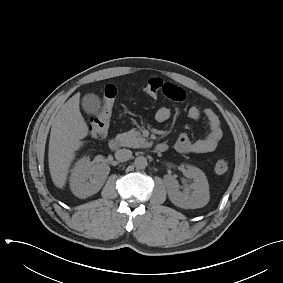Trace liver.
<instances>
[{"label": "liver", "instance_id": "1", "mask_svg": "<svg viewBox=\"0 0 283 283\" xmlns=\"http://www.w3.org/2000/svg\"><path fill=\"white\" fill-rule=\"evenodd\" d=\"M80 94L72 96L58 111L52 121L48 162L54 185L62 189L67 181L75 152L88 135V126L79 108Z\"/></svg>", "mask_w": 283, "mask_h": 283}]
</instances>
